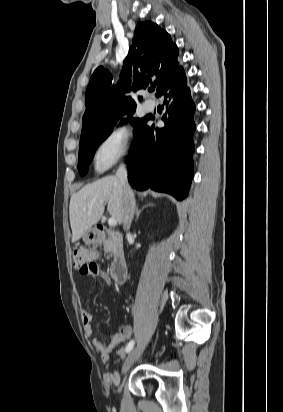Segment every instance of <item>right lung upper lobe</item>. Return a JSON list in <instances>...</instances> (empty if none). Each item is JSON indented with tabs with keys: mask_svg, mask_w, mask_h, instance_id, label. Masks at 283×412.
<instances>
[{
	"mask_svg": "<svg viewBox=\"0 0 283 412\" xmlns=\"http://www.w3.org/2000/svg\"><path fill=\"white\" fill-rule=\"evenodd\" d=\"M133 44L120 74L124 85L112 86L111 74L102 67L93 73L86 90L81 139L113 128L123 114L134 112L136 103L124 92H136L154 84L158 97L167 86H175L186 78L178 60V47L157 24L140 22Z\"/></svg>",
	"mask_w": 283,
	"mask_h": 412,
	"instance_id": "1",
	"label": "right lung upper lobe"
}]
</instances>
